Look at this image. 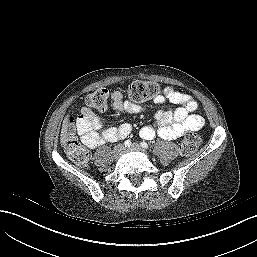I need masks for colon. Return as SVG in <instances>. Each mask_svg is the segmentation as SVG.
Wrapping results in <instances>:
<instances>
[{
	"instance_id": "colon-1",
	"label": "colon",
	"mask_w": 257,
	"mask_h": 257,
	"mask_svg": "<svg viewBox=\"0 0 257 257\" xmlns=\"http://www.w3.org/2000/svg\"><path fill=\"white\" fill-rule=\"evenodd\" d=\"M128 96L137 102L155 99L160 95V88L155 82H132L127 88ZM109 94L106 89H98L90 94L86 99V108L92 111L104 112L108 108ZM75 117L68 119L69 131L66 136V153L68 157L78 165H85L89 162L88 150L78 141L74 124ZM201 138L198 134L188 135L181 143L180 152L184 156L193 154L199 147Z\"/></svg>"
}]
</instances>
